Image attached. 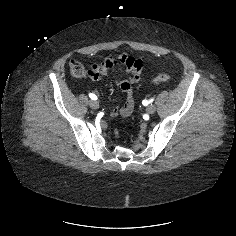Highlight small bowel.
I'll return each mask as SVG.
<instances>
[{
	"label": "small bowel",
	"instance_id": "small-bowel-1",
	"mask_svg": "<svg viewBox=\"0 0 236 236\" xmlns=\"http://www.w3.org/2000/svg\"><path fill=\"white\" fill-rule=\"evenodd\" d=\"M117 64L124 66L127 77L117 81L119 89L125 95V103L122 107L111 110L112 117H128L134 110L133 86L142 79L143 61L128 53H121L117 57L109 55L101 63H94L89 70V77L94 81L102 80L106 74Z\"/></svg>",
	"mask_w": 236,
	"mask_h": 236
}]
</instances>
